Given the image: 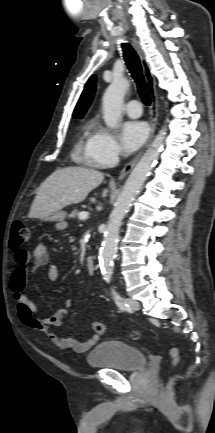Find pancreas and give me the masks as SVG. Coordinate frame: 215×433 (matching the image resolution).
I'll use <instances>...</instances> for the list:
<instances>
[{"instance_id":"cf45deb5","label":"pancreas","mask_w":215,"mask_h":433,"mask_svg":"<svg viewBox=\"0 0 215 433\" xmlns=\"http://www.w3.org/2000/svg\"><path fill=\"white\" fill-rule=\"evenodd\" d=\"M79 214L80 212L78 210H74L71 212V214H69V217L75 219Z\"/></svg>"}]
</instances>
